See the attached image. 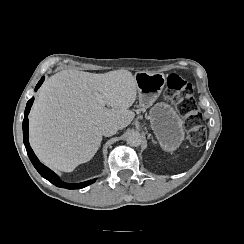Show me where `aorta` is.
<instances>
[{"label":"aorta","instance_id":"1","mask_svg":"<svg viewBox=\"0 0 244 244\" xmlns=\"http://www.w3.org/2000/svg\"><path fill=\"white\" fill-rule=\"evenodd\" d=\"M126 141L130 146L137 147L141 145L142 137L139 132L132 131L127 135Z\"/></svg>","mask_w":244,"mask_h":244}]
</instances>
